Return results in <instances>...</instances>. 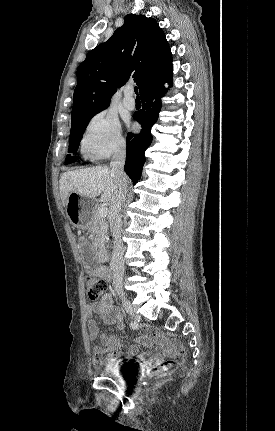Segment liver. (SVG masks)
<instances>
[{"label": "liver", "instance_id": "6515ba94", "mask_svg": "<svg viewBox=\"0 0 275 431\" xmlns=\"http://www.w3.org/2000/svg\"><path fill=\"white\" fill-rule=\"evenodd\" d=\"M59 189L63 206L73 192L93 199L101 194V201L109 202L116 190V181L108 167L96 166L63 173Z\"/></svg>", "mask_w": 275, "mask_h": 431}]
</instances>
